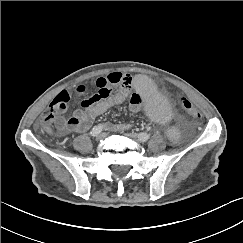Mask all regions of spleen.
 Segmentation results:
<instances>
[{"mask_svg": "<svg viewBox=\"0 0 243 243\" xmlns=\"http://www.w3.org/2000/svg\"><path fill=\"white\" fill-rule=\"evenodd\" d=\"M132 87L143 101L145 109L154 123L163 125L169 121L171 112L162 93L149 76L145 74L136 76ZM163 136L167 142L176 144L182 140L184 131L180 125L171 123L165 127Z\"/></svg>", "mask_w": 243, "mask_h": 243, "instance_id": "spleen-1", "label": "spleen"}]
</instances>
